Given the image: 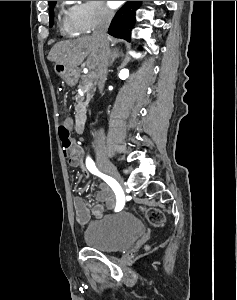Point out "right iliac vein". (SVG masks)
Instances as JSON below:
<instances>
[{
	"label": "right iliac vein",
	"mask_w": 237,
	"mask_h": 300,
	"mask_svg": "<svg viewBox=\"0 0 237 300\" xmlns=\"http://www.w3.org/2000/svg\"><path fill=\"white\" fill-rule=\"evenodd\" d=\"M97 161L102 170L110 174L121 187L124 186L123 180L120 177L119 172L117 171L113 163L109 160V157L106 155L104 148L98 149Z\"/></svg>",
	"instance_id": "63e3f726"
}]
</instances>
